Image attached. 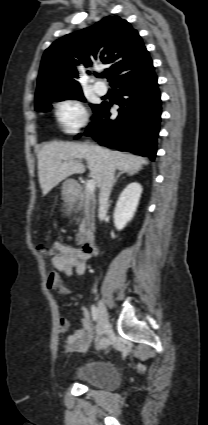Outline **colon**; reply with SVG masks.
<instances>
[{
	"label": "colon",
	"mask_w": 208,
	"mask_h": 425,
	"mask_svg": "<svg viewBox=\"0 0 208 425\" xmlns=\"http://www.w3.org/2000/svg\"><path fill=\"white\" fill-rule=\"evenodd\" d=\"M39 251L45 257H51L55 255V250L47 244H41L38 246Z\"/></svg>",
	"instance_id": "obj_1"
}]
</instances>
